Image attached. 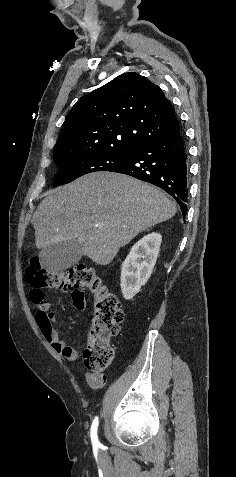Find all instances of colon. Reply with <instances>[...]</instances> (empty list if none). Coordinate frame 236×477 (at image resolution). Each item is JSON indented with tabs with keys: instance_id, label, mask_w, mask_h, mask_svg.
<instances>
[{
	"instance_id": "5ec220e1",
	"label": "colon",
	"mask_w": 236,
	"mask_h": 477,
	"mask_svg": "<svg viewBox=\"0 0 236 477\" xmlns=\"http://www.w3.org/2000/svg\"><path fill=\"white\" fill-rule=\"evenodd\" d=\"M33 302L43 298L46 289H74L78 294H92L94 311L87 333L84 361L93 372H102L114 359L112 339L118 334L124 313L116 295L104 284L95 268L77 264L66 271L50 272L37 257L30 260L25 271Z\"/></svg>"
}]
</instances>
